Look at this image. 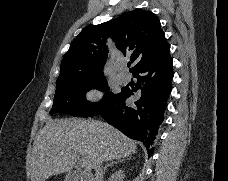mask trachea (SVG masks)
Returning <instances> with one entry per match:
<instances>
[{
  "mask_svg": "<svg viewBox=\"0 0 228 181\" xmlns=\"http://www.w3.org/2000/svg\"><path fill=\"white\" fill-rule=\"evenodd\" d=\"M128 66L130 67L131 66V63H128Z\"/></svg>",
  "mask_w": 228,
  "mask_h": 181,
  "instance_id": "1",
  "label": "trachea"
}]
</instances>
